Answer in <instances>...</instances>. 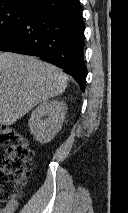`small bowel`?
<instances>
[{
	"label": "small bowel",
	"instance_id": "obj_1",
	"mask_svg": "<svg viewBox=\"0 0 128 213\" xmlns=\"http://www.w3.org/2000/svg\"><path fill=\"white\" fill-rule=\"evenodd\" d=\"M18 208V202L16 200H11L7 202L2 208H0V213H15Z\"/></svg>",
	"mask_w": 128,
	"mask_h": 213
}]
</instances>
